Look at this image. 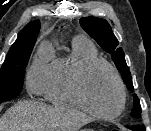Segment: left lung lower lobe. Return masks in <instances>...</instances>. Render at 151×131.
<instances>
[{"label":"left lung lower lobe","mask_w":151,"mask_h":131,"mask_svg":"<svg viewBox=\"0 0 151 131\" xmlns=\"http://www.w3.org/2000/svg\"><path fill=\"white\" fill-rule=\"evenodd\" d=\"M132 131H146L145 126L143 125H137V126H126Z\"/></svg>","instance_id":"0a47b994"}]
</instances>
